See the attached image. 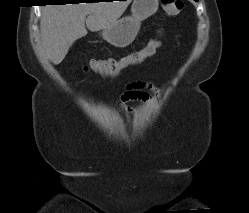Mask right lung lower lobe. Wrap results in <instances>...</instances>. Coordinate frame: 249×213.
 Wrapping results in <instances>:
<instances>
[{"label":"right lung lower lobe","mask_w":249,"mask_h":213,"mask_svg":"<svg viewBox=\"0 0 249 213\" xmlns=\"http://www.w3.org/2000/svg\"><path fill=\"white\" fill-rule=\"evenodd\" d=\"M65 0H48L47 2H55V3H65L64 2ZM43 3H45V2H43Z\"/></svg>","instance_id":"98d812e1"}]
</instances>
